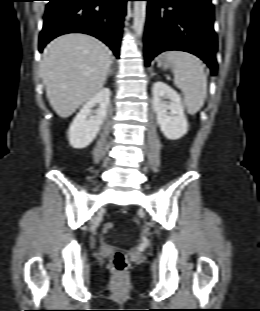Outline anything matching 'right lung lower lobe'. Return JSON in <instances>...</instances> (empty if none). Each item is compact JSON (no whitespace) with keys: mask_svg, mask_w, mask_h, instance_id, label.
Segmentation results:
<instances>
[{"mask_svg":"<svg viewBox=\"0 0 260 311\" xmlns=\"http://www.w3.org/2000/svg\"><path fill=\"white\" fill-rule=\"evenodd\" d=\"M129 0H49L39 51L53 38L66 33H85L106 43L119 56L121 29Z\"/></svg>","mask_w":260,"mask_h":311,"instance_id":"right-lung-lower-lobe-1","label":"right lung lower lobe"}]
</instances>
